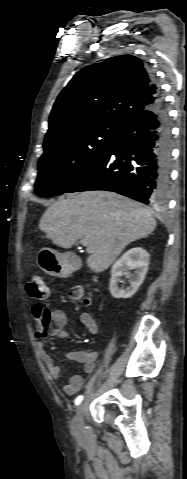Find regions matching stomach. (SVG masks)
<instances>
[{"label":"stomach","mask_w":187,"mask_h":479,"mask_svg":"<svg viewBox=\"0 0 187 479\" xmlns=\"http://www.w3.org/2000/svg\"><path fill=\"white\" fill-rule=\"evenodd\" d=\"M37 263L44 272L52 276L64 278L71 272L66 256L50 248H42L38 252Z\"/></svg>","instance_id":"obj_1"}]
</instances>
